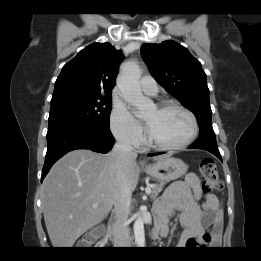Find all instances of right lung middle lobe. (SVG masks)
<instances>
[{"instance_id": "obj_1", "label": "right lung middle lobe", "mask_w": 261, "mask_h": 261, "mask_svg": "<svg viewBox=\"0 0 261 261\" xmlns=\"http://www.w3.org/2000/svg\"><path fill=\"white\" fill-rule=\"evenodd\" d=\"M111 96L80 93L53 94L49 127L64 123H90L109 128Z\"/></svg>"}]
</instances>
